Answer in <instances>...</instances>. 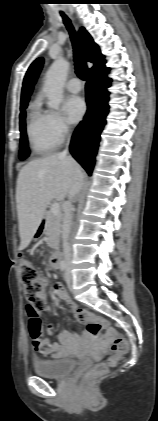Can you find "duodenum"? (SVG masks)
<instances>
[{
    "label": "duodenum",
    "mask_w": 158,
    "mask_h": 421,
    "mask_svg": "<svg viewBox=\"0 0 158 421\" xmlns=\"http://www.w3.org/2000/svg\"><path fill=\"white\" fill-rule=\"evenodd\" d=\"M62 262V253L60 251H56L52 254L50 259V264L53 269H57L60 267V264Z\"/></svg>",
    "instance_id": "duodenum-1"
}]
</instances>
